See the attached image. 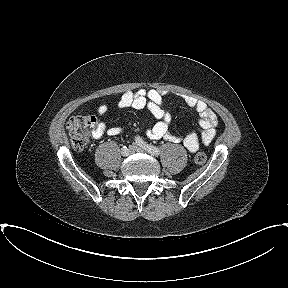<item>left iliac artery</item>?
<instances>
[{
  "label": "left iliac artery",
  "mask_w": 288,
  "mask_h": 288,
  "mask_svg": "<svg viewBox=\"0 0 288 288\" xmlns=\"http://www.w3.org/2000/svg\"><path fill=\"white\" fill-rule=\"evenodd\" d=\"M136 143L142 146L147 152L151 155L158 156L160 154V150L156 146L146 144L141 138H136Z\"/></svg>",
  "instance_id": "obj_1"
}]
</instances>
